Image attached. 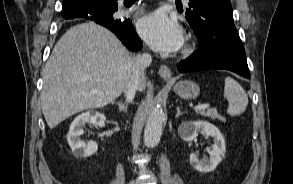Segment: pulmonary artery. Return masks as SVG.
<instances>
[{
	"instance_id": "obj_1",
	"label": "pulmonary artery",
	"mask_w": 293,
	"mask_h": 184,
	"mask_svg": "<svg viewBox=\"0 0 293 184\" xmlns=\"http://www.w3.org/2000/svg\"><path fill=\"white\" fill-rule=\"evenodd\" d=\"M137 8L136 7H131L130 9H128V11H126V12H133V11H135Z\"/></svg>"
}]
</instances>
